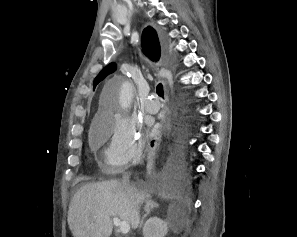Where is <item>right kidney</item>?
Masks as SVG:
<instances>
[{
  "label": "right kidney",
  "mask_w": 297,
  "mask_h": 237,
  "mask_svg": "<svg viewBox=\"0 0 297 237\" xmlns=\"http://www.w3.org/2000/svg\"><path fill=\"white\" fill-rule=\"evenodd\" d=\"M167 232V222L156 216L149 218L143 227L144 237H165Z\"/></svg>",
  "instance_id": "ca27d5eb"
}]
</instances>
